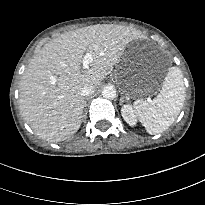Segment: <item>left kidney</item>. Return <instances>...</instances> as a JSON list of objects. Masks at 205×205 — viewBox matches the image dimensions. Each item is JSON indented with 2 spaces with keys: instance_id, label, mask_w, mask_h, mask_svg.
I'll list each match as a JSON object with an SVG mask.
<instances>
[{
  "instance_id": "left-kidney-1",
  "label": "left kidney",
  "mask_w": 205,
  "mask_h": 205,
  "mask_svg": "<svg viewBox=\"0 0 205 205\" xmlns=\"http://www.w3.org/2000/svg\"><path fill=\"white\" fill-rule=\"evenodd\" d=\"M123 119L130 125L135 126L137 123L136 115L131 105L126 104L121 108Z\"/></svg>"
}]
</instances>
